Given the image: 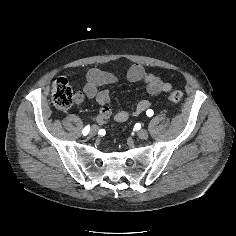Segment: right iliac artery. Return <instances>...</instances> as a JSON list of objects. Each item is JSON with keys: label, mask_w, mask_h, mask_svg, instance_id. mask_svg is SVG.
Listing matches in <instances>:
<instances>
[{"label": "right iliac artery", "mask_w": 236, "mask_h": 236, "mask_svg": "<svg viewBox=\"0 0 236 236\" xmlns=\"http://www.w3.org/2000/svg\"><path fill=\"white\" fill-rule=\"evenodd\" d=\"M89 131H90V126L87 125V126L83 129L82 133H83V135H87V134L89 133Z\"/></svg>", "instance_id": "1"}]
</instances>
